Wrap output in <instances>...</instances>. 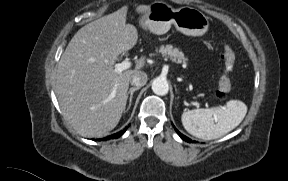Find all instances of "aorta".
<instances>
[{
    "label": "aorta",
    "mask_w": 288,
    "mask_h": 181,
    "mask_svg": "<svg viewBox=\"0 0 288 181\" xmlns=\"http://www.w3.org/2000/svg\"><path fill=\"white\" fill-rule=\"evenodd\" d=\"M152 90L156 95H166L169 91V85L165 78L157 77L152 82Z\"/></svg>",
    "instance_id": "obj_1"
}]
</instances>
